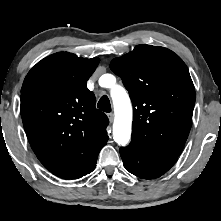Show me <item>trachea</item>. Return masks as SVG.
I'll use <instances>...</instances> for the list:
<instances>
[{
	"mask_svg": "<svg viewBox=\"0 0 221 221\" xmlns=\"http://www.w3.org/2000/svg\"><path fill=\"white\" fill-rule=\"evenodd\" d=\"M97 107L104 112H111V104L109 98L104 95L100 98Z\"/></svg>",
	"mask_w": 221,
	"mask_h": 221,
	"instance_id": "1",
	"label": "trachea"
}]
</instances>
